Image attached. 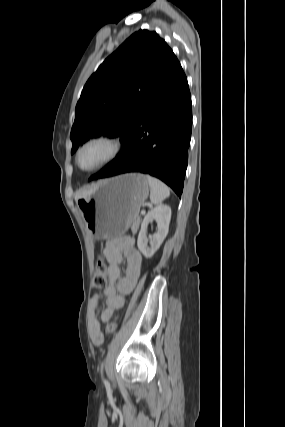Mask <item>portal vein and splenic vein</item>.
<instances>
[{"label":"portal vein and splenic vein","instance_id":"portal-vein-and-splenic-vein-1","mask_svg":"<svg viewBox=\"0 0 285 427\" xmlns=\"http://www.w3.org/2000/svg\"><path fill=\"white\" fill-rule=\"evenodd\" d=\"M146 211L145 210H141V215H145Z\"/></svg>","mask_w":285,"mask_h":427}]
</instances>
